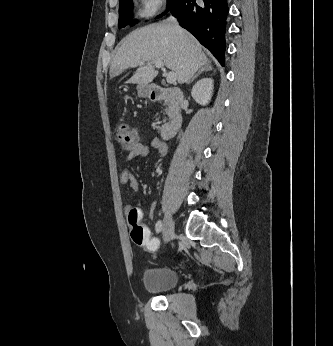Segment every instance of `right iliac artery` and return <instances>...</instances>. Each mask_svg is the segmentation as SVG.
<instances>
[{
	"label": "right iliac artery",
	"instance_id": "right-iliac-artery-1",
	"mask_svg": "<svg viewBox=\"0 0 333 346\" xmlns=\"http://www.w3.org/2000/svg\"><path fill=\"white\" fill-rule=\"evenodd\" d=\"M156 232L157 233H160L161 230H162V221L161 220H158L157 223H156Z\"/></svg>",
	"mask_w": 333,
	"mask_h": 346
}]
</instances>
